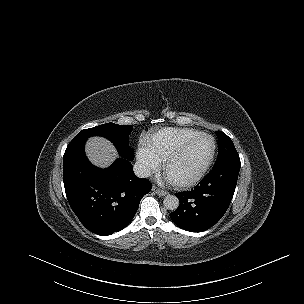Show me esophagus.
Listing matches in <instances>:
<instances>
[{
    "mask_svg": "<svg viewBox=\"0 0 304 304\" xmlns=\"http://www.w3.org/2000/svg\"><path fill=\"white\" fill-rule=\"evenodd\" d=\"M152 191H154V192H155L157 195H159V196H165V195L168 194L167 191L162 190V189H160V188L157 187V186H153V187H152Z\"/></svg>",
    "mask_w": 304,
    "mask_h": 304,
    "instance_id": "obj_1",
    "label": "esophagus"
}]
</instances>
